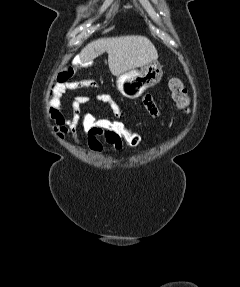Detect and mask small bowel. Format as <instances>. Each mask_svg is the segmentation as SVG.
Returning a JSON list of instances; mask_svg holds the SVG:
<instances>
[{
  "instance_id": "c3829d8e",
  "label": "small bowel",
  "mask_w": 240,
  "mask_h": 287,
  "mask_svg": "<svg viewBox=\"0 0 240 287\" xmlns=\"http://www.w3.org/2000/svg\"><path fill=\"white\" fill-rule=\"evenodd\" d=\"M62 97L63 93L61 92L59 86L54 83L51 86L48 94V110L50 117L54 120V132L59 139L70 137L76 144L80 145L81 141L78 138L77 134L79 128L73 122L70 115H67L63 112ZM93 100L108 104L114 111L116 117L124 118L125 111L118 106L117 102L110 94L99 93L93 96L84 95L83 97V101L85 103H88ZM142 103L145 110L149 113L151 117L155 119L161 118V110L157 106L152 95L145 94L142 98ZM87 144L89 149L96 154L102 153L104 144L112 146L113 149L118 152L123 149V144L120 141L106 139L98 135H87Z\"/></svg>"
}]
</instances>
